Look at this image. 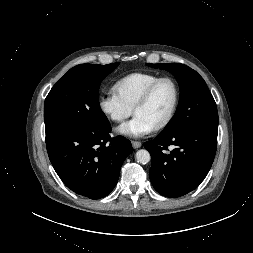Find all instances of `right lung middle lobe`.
<instances>
[{
  "instance_id": "right-lung-middle-lobe-1",
  "label": "right lung middle lobe",
  "mask_w": 253,
  "mask_h": 253,
  "mask_svg": "<svg viewBox=\"0 0 253 253\" xmlns=\"http://www.w3.org/2000/svg\"><path fill=\"white\" fill-rule=\"evenodd\" d=\"M119 63L80 64L70 69L45 99L46 133L69 126H94L107 121L98 101L102 80Z\"/></svg>"
}]
</instances>
